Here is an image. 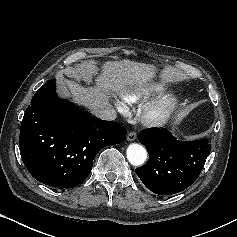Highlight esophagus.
Masks as SVG:
<instances>
[{"label":"esophagus","instance_id":"obj_1","mask_svg":"<svg viewBox=\"0 0 237 237\" xmlns=\"http://www.w3.org/2000/svg\"><path fill=\"white\" fill-rule=\"evenodd\" d=\"M137 138V134L134 131H131L127 135V140L128 141H134Z\"/></svg>","mask_w":237,"mask_h":237}]
</instances>
